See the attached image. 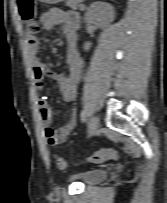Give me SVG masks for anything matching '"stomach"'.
<instances>
[{"label":"stomach","instance_id":"1","mask_svg":"<svg viewBox=\"0 0 167 203\" xmlns=\"http://www.w3.org/2000/svg\"><path fill=\"white\" fill-rule=\"evenodd\" d=\"M39 1L46 4H57L59 2H62L63 0H39Z\"/></svg>","mask_w":167,"mask_h":203}]
</instances>
